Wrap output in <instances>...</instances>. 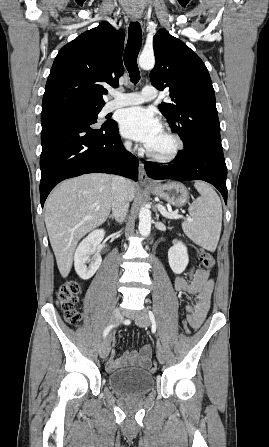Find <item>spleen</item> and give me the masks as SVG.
<instances>
[{"instance_id": "1", "label": "spleen", "mask_w": 269, "mask_h": 447, "mask_svg": "<svg viewBox=\"0 0 269 447\" xmlns=\"http://www.w3.org/2000/svg\"><path fill=\"white\" fill-rule=\"evenodd\" d=\"M194 188L199 192L200 198L189 206L193 222H183L182 229L197 245L208 251H215L222 225L221 200L206 182L195 180Z\"/></svg>"}]
</instances>
